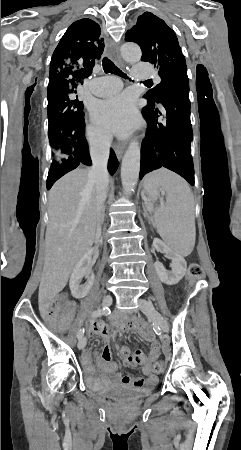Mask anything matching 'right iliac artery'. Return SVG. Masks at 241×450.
Here are the masks:
<instances>
[{
  "instance_id": "right-iliac-artery-1",
  "label": "right iliac artery",
  "mask_w": 241,
  "mask_h": 450,
  "mask_svg": "<svg viewBox=\"0 0 241 450\" xmlns=\"http://www.w3.org/2000/svg\"><path fill=\"white\" fill-rule=\"evenodd\" d=\"M108 311H109L108 307H104L103 309H98L92 313V317L93 318L100 317L104 314H108ZM83 335H84V328L80 329L78 331L77 338L80 340L83 337Z\"/></svg>"
}]
</instances>
